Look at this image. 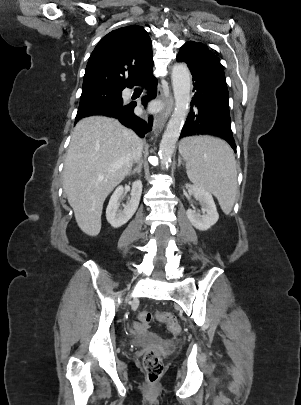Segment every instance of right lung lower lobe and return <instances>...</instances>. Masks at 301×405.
Here are the masks:
<instances>
[{
    "instance_id": "1",
    "label": "right lung lower lobe",
    "mask_w": 301,
    "mask_h": 405,
    "mask_svg": "<svg viewBox=\"0 0 301 405\" xmlns=\"http://www.w3.org/2000/svg\"><path fill=\"white\" fill-rule=\"evenodd\" d=\"M141 84L147 87L148 96L142 98V104L155 98L157 94V79L153 76V68L148 70L141 79L135 84ZM136 104H115L93 108L86 112L77 113L76 122L87 116L102 115L107 117H114L118 119L124 126L133 129L139 136L144 137L145 134L152 129V116L148 120H143L134 114V107Z\"/></svg>"
}]
</instances>
